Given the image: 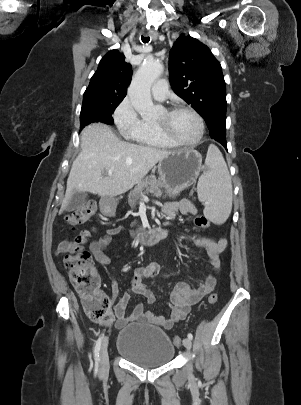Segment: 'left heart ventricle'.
I'll use <instances>...</instances> for the list:
<instances>
[{
  "label": "left heart ventricle",
  "mask_w": 301,
  "mask_h": 405,
  "mask_svg": "<svg viewBox=\"0 0 301 405\" xmlns=\"http://www.w3.org/2000/svg\"><path fill=\"white\" fill-rule=\"evenodd\" d=\"M155 122H165L169 131L178 139L191 142L196 139L199 133V124L193 114L187 111H180L167 116L162 111Z\"/></svg>",
  "instance_id": "1"
}]
</instances>
